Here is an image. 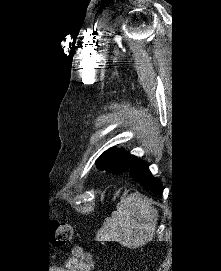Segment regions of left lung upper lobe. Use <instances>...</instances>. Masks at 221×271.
I'll list each match as a JSON object with an SVG mask.
<instances>
[{"label":"left lung upper lobe","instance_id":"obj_1","mask_svg":"<svg viewBox=\"0 0 221 271\" xmlns=\"http://www.w3.org/2000/svg\"><path fill=\"white\" fill-rule=\"evenodd\" d=\"M134 156L129 155L126 151L109 148L95 162L100 171L110 173H122L127 171L131 166Z\"/></svg>","mask_w":221,"mask_h":271}]
</instances>
